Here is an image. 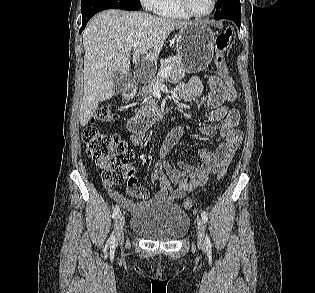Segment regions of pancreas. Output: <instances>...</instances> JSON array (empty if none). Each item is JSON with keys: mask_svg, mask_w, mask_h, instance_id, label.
I'll return each mask as SVG.
<instances>
[{"mask_svg": "<svg viewBox=\"0 0 315 293\" xmlns=\"http://www.w3.org/2000/svg\"><path fill=\"white\" fill-rule=\"evenodd\" d=\"M171 67V72L167 76L157 79L154 78L150 81L148 86L142 87V89L139 91V95L143 97V101L146 104H149V107H143L142 110H138L140 114H146L148 111V108H152L156 105L155 100L151 99L152 93L154 91V84L156 81L163 83L164 81H170L172 83L179 82L185 77V70H184V64L183 59L181 56H176L172 59H168L165 61L161 68Z\"/></svg>", "mask_w": 315, "mask_h": 293, "instance_id": "cf45deb5", "label": "pancreas"}]
</instances>
